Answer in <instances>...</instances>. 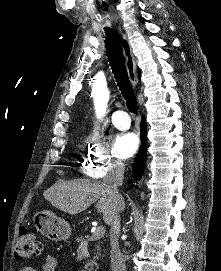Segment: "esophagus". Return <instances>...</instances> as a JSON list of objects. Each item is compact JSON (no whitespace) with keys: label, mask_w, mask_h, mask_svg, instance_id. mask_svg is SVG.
Masks as SVG:
<instances>
[{"label":"esophagus","mask_w":221,"mask_h":271,"mask_svg":"<svg viewBox=\"0 0 221 271\" xmlns=\"http://www.w3.org/2000/svg\"><path fill=\"white\" fill-rule=\"evenodd\" d=\"M121 38H122V47L124 56L126 58V67L128 71V76L133 85H137V74H136V62L132 53V48L127 36L120 29Z\"/></svg>","instance_id":"obj_1"}]
</instances>
